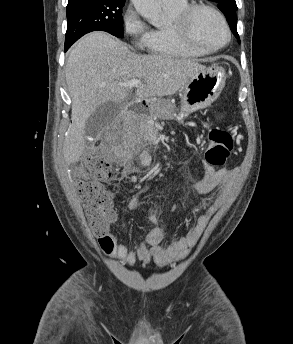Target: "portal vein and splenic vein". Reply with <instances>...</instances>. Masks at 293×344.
<instances>
[{
	"label": "portal vein and splenic vein",
	"mask_w": 293,
	"mask_h": 344,
	"mask_svg": "<svg viewBox=\"0 0 293 344\" xmlns=\"http://www.w3.org/2000/svg\"><path fill=\"white\" fill-rule=\"evenodd\" d=\"M143 82L141 80H137V79H131L129 81H127L126 83H123V86H127V87H136L138 85H141Z\"/></svg>",
	"instance_id": "obj_1"
}]
</instances>
